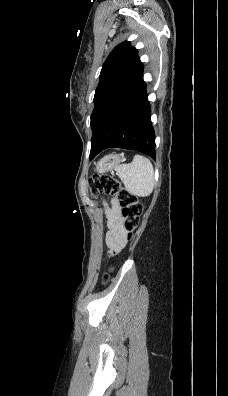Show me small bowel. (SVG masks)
<instances>
[{
    "mask_svg": "<svg viewBox=\"0 0 228 396\" xmlns=\"http://www.w3.org/2000/svg\"><path fill=\"white\" fill-rule=\"evenodd\" d=\"M107 225L109 228L106 243L111 250H120L125 243L127 233L122 226L119 206L115 201L112 202L111 208L106 210Z\"/></svg>",
    "mask_w": 228,
    "mask_h": 396,
    "instance_id": "obj_1",
    "label": "small bowel"
}]
</instances>
